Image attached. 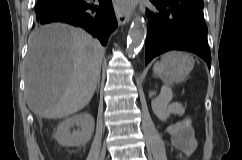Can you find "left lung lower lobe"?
<instances>
[{
  "mask_svg": "<svg viewBox=\"0 0 242 160\" xmlns=\"http://www.w3.org/2000/svg\"><path fill=\"white\" fill-rule=\"evenodd\" d=\"M147 9L146 64L170 50H185L203 58L210 68L203 7L184 0H150Z\"/></svg>",
  "mask_w": 242,
  "mask_h": 160,
  "instance_id": "left-lung-lower-lobe-1",
  "label": "left lung lower lobe"
}]
</instances>
